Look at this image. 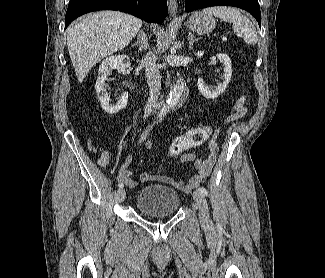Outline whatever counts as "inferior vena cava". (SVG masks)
Returning <instances> with one entry per match:
<instances>
[{
	"mask_svg": "<svg viewBox=\"0 0 325 278\" xmlns=\"http://www.w3.org/2000/svg\"><path fill=\"white\" fill-rule=\"evenodd\" d=\"M156 59V56L152 52H149L142 61L145 66L147 84L149 87V99L144 110V119L151 114L160 94L161 77L156 65Z\"/></svg>",
	"mask_w": 325,
	"mask_h": 278,
	"instance_id": "1",
	"label": "inferior vena cava"
}]
</instances>
